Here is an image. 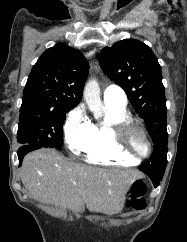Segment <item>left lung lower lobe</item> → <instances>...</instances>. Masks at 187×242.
Listing matches in <instances>:
<instances>
[{
	"mask_svg": "<svg viewBox=\"0 0 187 242\" xmlns=\"http://www.w3.org/2000/svg\"><path fill=\"white\" fill-rule=\"evenodd\" d=\"M144 173L147 174L150 177V179L152 180L155 188L159 185V183H160V181L163 177L162 173H151V172H144Z\"/></svg>",
	"mask_w": 187,
	"mask_h": 242,
	"instance_id": "left-lung-lower-lobe-1",
	"label": "left lung lower lobe"
}]
</instances>
